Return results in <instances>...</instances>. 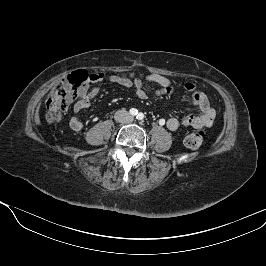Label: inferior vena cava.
I'll list each match as a JSON object with an SVG mask.
<instances>
[{"label":"inferior vena cava","mask_w":266,"mask_h":266,"mask_svg":"<svg viewBox=\"0 0 266 266\" xmlns=\"http://www.w3.org/2000/svg\"><path fill=\"white\" fill-rule=\"evenodd\" d=\"M115 120L121 123H130L133 117L125 109L118 110L114 116Z\"/></svg>","instance_id":"602c4592"}]
</instances>
